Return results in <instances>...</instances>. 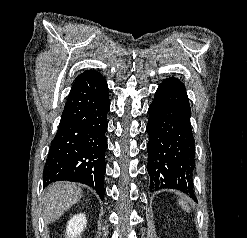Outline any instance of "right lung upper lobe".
<instances>
[{"mask_svg":"<svg viewBox=\"0 0 247 238\" xmlns=\"http://www.w3.org/2000/svg\"><path fill=\"white\" fill-rule=\"evenodd\" d=\"M85 72H87V71H85ZM85 72H84V73H85ZM84 73H82V74H84ZM82 74H80L79 76H81ZM79 76H78V77H79ZM78 77H77V78H78Z\"/></svg>","mask_w":247,"mask_h":238,"instance_id":"obj_1","label":"right lung upper lobe"}]
</instances>
